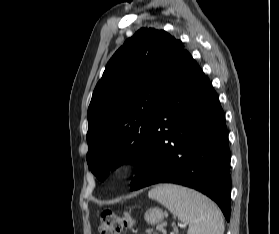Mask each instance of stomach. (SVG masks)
I'll return each mask as SVG.
<instances>
[{"instance_id": "1", "label": "stomach", "mask_w": 279, "mask_h": 234, "mask_svg": "<svg viewBox=\"0 0 279 234\" xmlns=\"http://www.w3.org/2000/svg\"><path fill=\"white\" fill-rule=\"evenodd\" d=\"M144 218L147 223L154 225L162 221V219L164 218V213L161 209L151 208L146 211Z\"/></svg>"}]
</instances>
